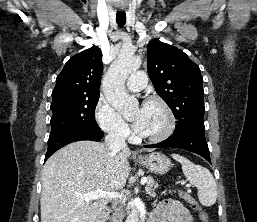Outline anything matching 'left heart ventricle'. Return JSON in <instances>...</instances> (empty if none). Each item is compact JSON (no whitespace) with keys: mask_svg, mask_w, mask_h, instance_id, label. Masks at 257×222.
<instances>
[{"mask_svg":"<svg viewBox=\"0 0 257 222\" xmlns=\"http://www.w3.org/2000/svg\"><path fill=\"white\" fill-rule=\"evenodd\" d=\"M139 109L133 113V118H136ZM166 113L158 104L144 105V131L141 135L148 136L161 132L166 126Z\"/></svg>","mask_w":257,"mask_h":222,"instance_id":"1","label":"left heart ventricle"}]
</instances>
